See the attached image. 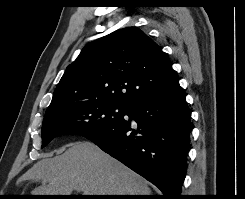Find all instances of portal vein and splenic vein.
<instances>
[{
  "label": "portal vein and splenic vein",
  "mask_w": 245,
  "mask_h": 199,
  "mask_svg": "<svg viewBox=\"0 0 245 199\" xmlns=\"http://www.w3.org/2000/svg\"><path fill=\"white\" fill-rule=\"evenodd\" d=\"M84 195H92V194L88 190H85Z\"/></svg>",
  "instance_id": "portal-vein-and-splenic-vein-1"
}]
</instances>
